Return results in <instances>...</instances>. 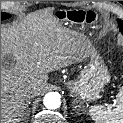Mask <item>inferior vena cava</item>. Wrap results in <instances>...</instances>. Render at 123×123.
<instances>
[{
  "label": "inferior vena cava",
  "instance_id": "1",
  "mask_svg": "<svg viewBox=\"0 0 123 123\" xmlns=\"http://www.w3.org/2000/svg\"><path fill=\"white\" fill-rule=\"evenodd\" d=\"M23 92L25 99L32 98L35 96V93L31 87L26 88Z\"/></svg>",
  "mask_w": 123,
  "mask_h": 123
}]
</instances>
